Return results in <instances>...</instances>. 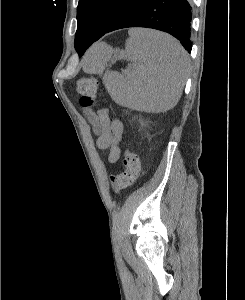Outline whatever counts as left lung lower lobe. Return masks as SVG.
Instances as JSON below:
<instances>
[{
  "label": "left lung lower lobe",
  "instance_id": "obj_1",
  "mask_svg": "<svg viewBox=\"0 0 245 300\" xmlns=\"http://www.w3.org/2000/svg\"><path fill=\"white\" fill-rule=\"evenodd\" d=\"M191 0H136L127 7L106 29L105 33L128 27H146L167 32L178 40L190 53ZM104 34L84 38L83 49H86Z\"/></svg>",
  "mask_w": 245,
  "mask_h": 300
}]
</instances>
